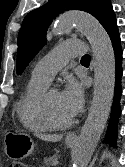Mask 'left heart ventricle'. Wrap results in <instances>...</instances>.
Here are the masks:
<instances>
[{
    "label": "left heart ventricle",
    "mask_w": 125,
    "mask_h": 167,
    "mask_svg": "<svg viewBox=\"0 0 125 167\" xmlns=\"http://www.w3.org/2000/svg\"><path fill=\"white\" fill-rule=\"evenodd\" d=\"M49 106L55 120L62 122L71 118L62 105L59 91L51 90L49 94Z\"/></svg>",
    "instance_id": "obj_1"
}]
</instances>
